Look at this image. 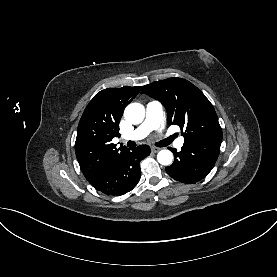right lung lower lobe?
Listing matches in <instances>:
<instances>
[{"label":"right lung lower lobe","instance_id":"98d812e1","mask_svg":"<svg viewBox=\"0 0 277 277\" xmlns=\"http://www.w3.org/2000/svg\"><path fill=\"white\" fill-rule=\"evenodd\" d=\"M149 154L150 148L147 145L128 150L118 157L105 172L89 183L106 195H124L139 182L140 161Z\"/></svg>","mask_w":277,"mask_h":277}]
</instances>
